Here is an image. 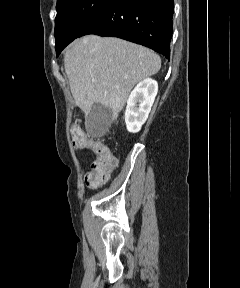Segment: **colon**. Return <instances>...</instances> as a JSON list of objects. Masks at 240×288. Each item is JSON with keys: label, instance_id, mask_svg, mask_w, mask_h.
I'll use <instances>...</instances> for the list:
<instances>
[{"label": "colon", "instance_id": "1", "mask_svg": "<svg viewBox=\"0 0 240 288\" xmlns=\"http://www.w3.org/2000/svg\"><path fill=\"white\" fill-rule=\"evenodd\" d=\"M71 136L75 147L90 148L95 153L96 157L86 174L85 183L89 188L100 187L109 179L116 166V158L105 144L89 140L77 125L71 127Z\"/></svg>", "mask_w": 240, "mask_h": 288}]
</instances>
